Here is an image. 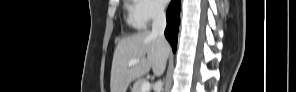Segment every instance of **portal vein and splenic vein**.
<instances>
[{
    "mask_svg": "<svg viewBox=\"0 0 296 92\" xmlns=\"http://www.w3.org/2000/svg\"><path fill=\"white\" fill-rule=\"evenodd\" d=\"M137 63H139V59H132L129 61V66H133ZM149 90H150V83L146 81L141 86V92H148Z\"/></svg>",
    "mask_w": 296,
    "mask_h": 92,
    "instance_id": "portal-vein-and-splenic-vein-1",
    "label": "portal vein and splenic vein"
}]
</instances>
